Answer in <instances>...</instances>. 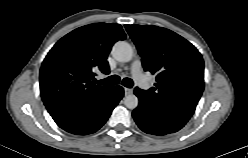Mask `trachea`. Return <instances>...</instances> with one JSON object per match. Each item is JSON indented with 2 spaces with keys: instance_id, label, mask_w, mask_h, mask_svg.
<instances>
[{
  "instance_id": "3493384b",
  "label": "trachea",
  "mask_w": 248,
  "mask_h": 158,
  "mask_svg": "<svg viewBox=\"0 0 248 158\" xmlns=\"http://www.w3.org/2000/svg\"><path fill=\"white\" fill-rule=\"evenodd\" d=\"M96 83L99 85H116V84L120 83V77L117 75H112V76L105 78L103 80H98V81H96ZM122 85H124L127 88H132L133 81L130 78H124L122 80Z\"/></svg>"
}]
</instances>
